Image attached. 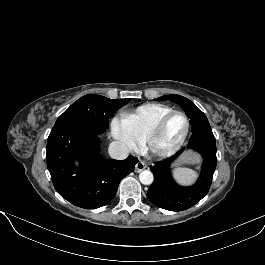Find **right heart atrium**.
I'll return each mask as SVG.
<instances>
[{"label":"right heart atrium","instance_id":"obj_1","mask_svg":"<svg viewBox=\"0 0 265 265\" xmlns=\"http://www.w3.org/2000/svg\"><path fill=\"white\" fill-rule=\"evenodd\" d=\"M112 136L125 150H134L139 140L128 129L122 118L114 117L110 123Z\"/></svg>","mask_w":265,"mask_h":265}]
</instances>
